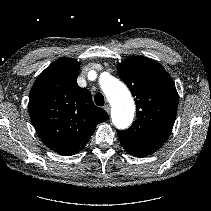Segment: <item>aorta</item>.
<instances>
[{
    "label": "aorta",
    "instance_id": "1",
    "mask_svg": "<svg viewBox=\"0 0 211 211\" xmlns=\"http://www.w3.org/2000/svg\"><path fill=\"white\" fill-rule=\"evenodd\" d=\"M100 86L107 98L113 103L112 120L119 129L127 128L133 121L135 104L128 88L108 73L100 77Z\"/></svg>",
    "mask_w": 211,
    "mask_h": 211
}]
</instances>
